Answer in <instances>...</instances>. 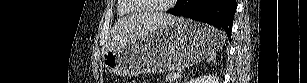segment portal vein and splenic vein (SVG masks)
Here are the masks:
<instances>
[{"label": "portal vein and splenic vein", "mask_w": 307, "mask_h": 83, "mask_svg": "<svg viewBox=\"0 0 307 83\" xmlns=\"http://www.w3.org/2000/svg\"><path fill=\"white\" fill-rule=\"evenodd\" d=\"M181 77V75L178 73V74H175V78H179Z\"/></svg>", "instance_id": "18ae733b"}]
</instances>
